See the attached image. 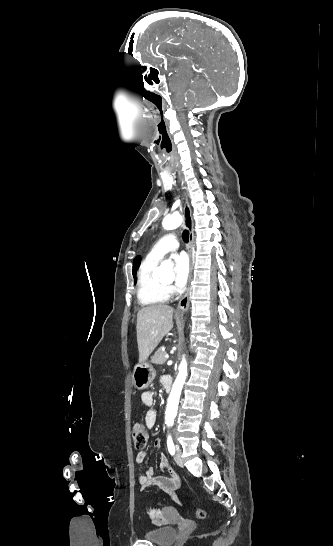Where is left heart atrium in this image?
I'll list each match as a JSON object with an SVG mask.
<instances>
[{"instance_id": "1", "label": "left heart atrium", "mask_w": 333, "mask_h": 546, "mask_svg": "<svg viewBox=\"0 0 333 546\" xmlns=\"http://www.w3.org/2000/svg\"><path fill=\"white\" fill-rule=\"evenodd\" d=\"M173 263L175 268V285L181 288L186 284L189 276L190 263L188 256L185 253L175 254L173 256Z\"/></svg>"}]
</instances>
